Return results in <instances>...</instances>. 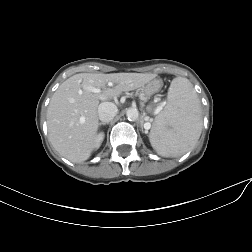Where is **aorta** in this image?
Here are the masks:
<instances>
[{
    "instance_id": "762f6f07",
    "label": "aorta",
    "mask_w": 252,
    "mask_h": 252,
    "mask_svg": "<svg viewBox=\"0 0 252 252\" xmlns=\"http://www.w3.org/2000/svg\"><path fill=\"white\" fill-rule=\"evenodd\" d=\"M129 121H135L139 117V112L136 108H129L126 112Z\"/></svg>"
}]
</instances>
